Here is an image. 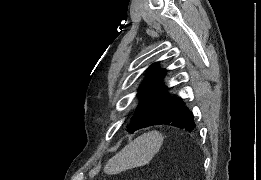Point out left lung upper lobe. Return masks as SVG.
<instances>
[{"label": "left lung upper lobe", "instance_id": "1", "mask_svg": "<svg viewBox=\"0 0 261 180\" xmlns=\"http://www.w3.org/2000/svg\"><path fill=\"white\" fill-rule=\"evenodd\" d=\"M149 68L147 78L138 89L137 95H140L141 100L132 117V122L127 127V131L130 133L151 126L176 98L169 95L166 92L167 88L161 84L166 70H158L155 63Z\"/></svg>", "mask_w": 261, "mask_h": 180}]
</instances>
